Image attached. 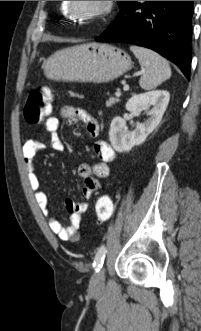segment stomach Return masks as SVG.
Here are the masks:
<instances>
[{"label": "stomach", "instance_id": "1", "mask_svg": "<svg viewBox=\"0 0 201 331\" xmlns=\"http://www.w3.org/2000/svg\"><path fill=\"white\" fill-rule=\"evenodd\" d=\"M130 56L106 43H85L58 50L45 60L46 77L61 81L107 83L131 69Z\"/></svg>", "mask_w": 201, "mask_h": 331}]
</instances>
